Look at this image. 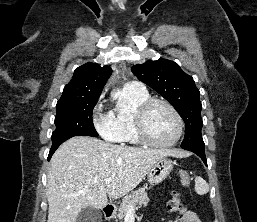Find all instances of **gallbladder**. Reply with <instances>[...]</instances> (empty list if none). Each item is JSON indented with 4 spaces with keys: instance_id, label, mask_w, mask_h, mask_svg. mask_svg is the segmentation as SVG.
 Wrapping results in <instances>:
<instances>
[{
    "instance_id": "obj_1",
    "label": "gallbladder",
    "mask_w": 257,
    "mask_h": 222,
    "mask_svg": "<svg viewBox=\"0 0 257 222\" xmlns=\"http://www.w3.org/2000/svg\"><path fill=\"white\" fill-rule=\"evenodd\" d=\"M76 222H102V213L99 209L86 206L78 214Z\"/></svg>"
}]
</instances>
